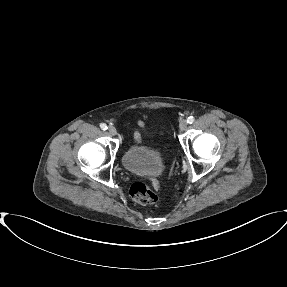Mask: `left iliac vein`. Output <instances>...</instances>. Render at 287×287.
<instances>
[{"label":"left iliac vein","mask_w":287,"mask_h":287,"mask_svg":"<svg viewBox=\"0 0 287 287\" xmlns=\"http://www.w3.org/2000/svg\"><path fill=\"white\" fill-rule=\"evenodd\" d=\"M179 127H180V130H181V131H185V130L187 129V127H188L187 121H186V120H182V121L180 122Z\"/></svg>","instance_id":"obj_1"}]
</instances>
